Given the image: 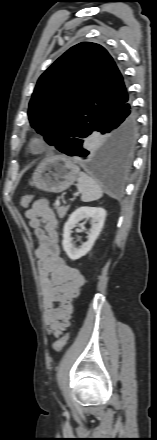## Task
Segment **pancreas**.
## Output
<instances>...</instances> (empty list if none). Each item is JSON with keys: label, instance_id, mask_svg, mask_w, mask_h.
Masks as SVG:
<instances>
[{"label": "pancreas", "instance_id": "1", "mask_svg": "<svg viewBox=\"0 0 157 440\" xmlns=\"http://www.w3.org/2000/svg\"><path fill=\"white\" fill-rule=\"evenodd\" d=\"M55 209L57 210L59 218L62 219L65 217L69 207L55 205Z\"/></svg>", "mask_w": 157, "mask_h": 440}]
</instances>
